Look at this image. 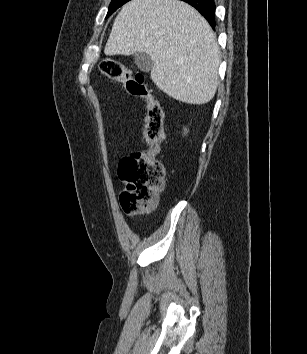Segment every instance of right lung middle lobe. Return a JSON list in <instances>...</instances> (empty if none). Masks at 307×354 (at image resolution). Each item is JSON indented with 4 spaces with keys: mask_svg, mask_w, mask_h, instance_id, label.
<instances>
[{
    "mask_svg": "<svg viewBox=\"0 0 307 354\" xmlns=\"http://www.w3.org/2000/svg\"><path fill=\"white\" fill-rule=\"evenodd\" d=\"M129 0H112L106 18Z\"/></svg>",
    "mask_w": 307,
    "mask_h": 354,
    "instance_id": "obj_1",
    "label": "right lung middle lobe"
}]
</instances>
